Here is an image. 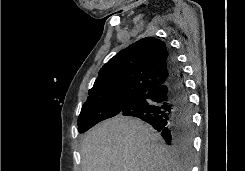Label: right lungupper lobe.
I'll use <instances>...</instances> for the list:
<instances>
[{
  "mask_svg": "<svg viewBox=\"0 0 245 171\" xmlns=\"http://www.w3.org/2000/svg\"><path fill=\"white\" fill-rule=\"evenodd\" d=\"M168 57L169 49L163 41L154 37L140 39L100 69L86 102L146 94L167 81Z\"/></svg>",
  "mask_w": 245,
  "mask_h": 171,
  "instance_id": "1",
  "label": "right lung upper lobe"
}]
</instances>
